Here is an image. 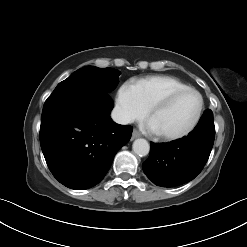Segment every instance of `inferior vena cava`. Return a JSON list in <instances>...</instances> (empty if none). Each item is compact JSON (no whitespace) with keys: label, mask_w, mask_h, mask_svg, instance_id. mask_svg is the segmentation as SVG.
I'll return each instance as SVG.
<instances>
[{"label":"inferior vena cava","mask_w":247,"mask_h":247,"mask_svg":"<svg viewBox=\"0 0 247 247\" xmlns=\"http://www.w3.org/2000/svg\"><path fill=\"white\" fill-rule=\"evenodd\" d=\"M111 118L118 124H129L132 122L130 115L119 107H115L111 113Z\"/></svg>","instance_id":"602c4592"}]
</instances>
